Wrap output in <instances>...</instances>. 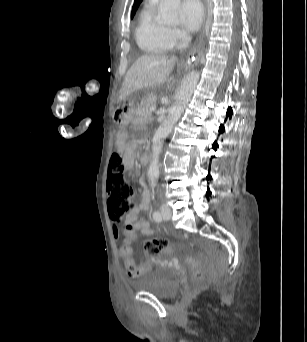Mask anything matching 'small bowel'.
I'll use <instances>...</instances> for the list:
<instances>
[{"instance_id":"1","label":"small bowel","mask_w":307,"mask_h":342,"mask_svg":"<svg viewBox=\"0 0 307 342\" xmlns=\"http://www.w3.org/2000/svg\"><path fill=\"white\" fill-rule=\"evenodd\" d=\"M132 159L130 155L126 156V167L128 169L132 168ZM150 204V196L147 189H144L142 192V201L138 207L133 208L127 215L125 220V225H138L139 229H141V232H145V235H152L154 234V230L150 227L149 223L141 218L138 219V214L140 211H144L148 209ZM115 238H118L119 236V229L117 227H114L113 229Z\"/></svg>"}]
</instances>
